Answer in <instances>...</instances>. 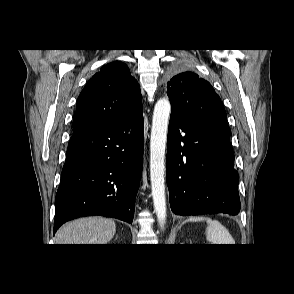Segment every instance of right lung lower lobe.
Here are the masks:
<instances>
[{"label": "right lung lower lobe", "mask_w": 294, "mask_h": 294, "mask_svg": "<svg viewBox=\"0 0 294 294\" xmlns=\"http://www.w3.org/2000/svg\"><path fill=\"white\" fill-rule=\"evenodd\" d=\"M142 105L122 118L74 132L55 198L54 233L74 218L133 221L143 165Z\"/></svg>", "instance_id": "98d812e1"}]
</instances>
